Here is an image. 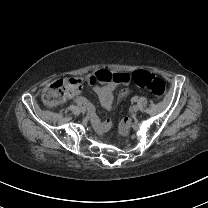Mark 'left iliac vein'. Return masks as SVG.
<instances>
[{"mask_svg": "<svg viewBox=\"0 0 208 208\" xmlns=\"http://www.w3.org/2000/svg\"><path fill=\"white\" fill-rule=\"evenodd\" d=\"M139 107L137 105H133L131 108H130V111L131 113H136L138 111Z\"/></svg>", "mask_w": 208, "mask_h": 208, "instance_id": "4c4485c4", "label": "left iliac vein"}]
</instances>
